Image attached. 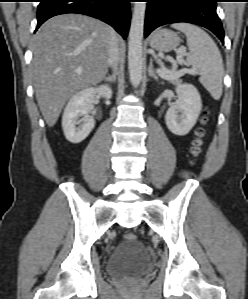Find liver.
<instances>
[{
  "mask_svg": "<svg viewBox=\"0 0 248 299\" xmlns=\"http://www.w3.org/2000/svg\"><path fill=\"white\" fill-rule=\"evenodd\" d=\"M112 33L116 35L105 23L80 14L55 16L39 28L32 43L31 71L49 127L72 95L104 79Z\"/></svg>",
  "mask_w": 248,
  "mask_h": 299,
  "instance_id": "1",
  "label": "liver"
}]
</instances>
